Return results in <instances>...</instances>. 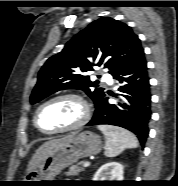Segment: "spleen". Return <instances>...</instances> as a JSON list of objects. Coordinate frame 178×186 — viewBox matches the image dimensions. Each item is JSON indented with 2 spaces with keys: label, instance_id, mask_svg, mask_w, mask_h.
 I'll return each instance as SVG.
<instances>
[{
  "label": "spleen",
  "instance_id": "obj_1",
  "mask_svg": "<svg viewBox=\"0 0 178 186\" xmlns=\"http://www.w3.org/2000/svg\"><path fill=\"white\" fill-rule=\"evenodd\" d=\"M98 129L105 136V156L115 157L124 149L137 148L138 140L130 131L110 125H99Z\"/></svg>",
  "mask_w": 178,
  "mask_h": 186
}]
</instances>
